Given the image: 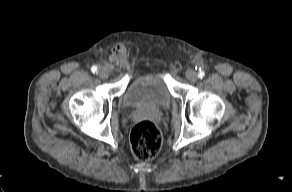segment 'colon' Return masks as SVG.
Returning a JSON list of instances; mask_svg holds the SVG:
<instances>
[{"label": "colon", "mask_w": 292, "mask_h": 192, "mask_svg": "<svg viewBox=\"0 0 292 192\" xmlns=\"http://www.w3.org/2000/svg\"><path fill=\"white\" fill-rule=\"evenodd\" d=\"M130 141L134 156L142 161L154 158L162 145L158 128L148 120L141 121L133 127Z\"/></svg>", "instance_id": "1"}]
</instances>
